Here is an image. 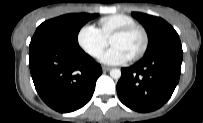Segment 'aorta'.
<instances>
[{
	"instance_id": "aorta-1",
	"label": "aorta",
	"mask_w": 203,
	"mask_h": 123,
	"mask_svg": "<svg viewBox=\"0 0 203 123\" xmlns=\"http://www.w3.org/2000/svg\"><path fill=\"white\" fill-rule=\"evenodd\" d=\"M110 76L113 78V79H119L121 77V70L120 69H112L110 71Z\"/></svg>"
}]
</instances>
